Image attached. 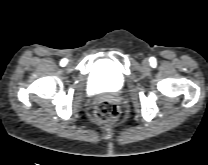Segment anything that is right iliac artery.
I'll return each mask as SVG.
<instances>
[{"instance_id":"1","label":"right iliac artery","mask_w":208,"mask_h":165,"mask_svg":"<svg viewBox=\"0 0 208 165\" xmlns=\"http://www.w3.org/2000/svg\"><path fill=\"white\" fill-rule=\"evenodd\" d=\"M68 60L67 59H62L60 65L65 66L67 64Z\"/></svg>"}]
</instances>
